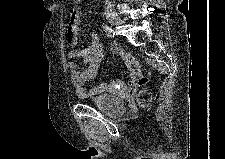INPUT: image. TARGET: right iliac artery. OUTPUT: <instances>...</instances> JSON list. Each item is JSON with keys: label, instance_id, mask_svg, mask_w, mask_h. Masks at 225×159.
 <instances>
[{"label": "right iliac artery", "instance_id": "right-iliac-artery-1", "mask_svg": "<svg viewBox=\"0 0 225 159\" xmlns=\"http://www.w3.org/2000/svg\"><path fill=\"white\" fill-rule=\"evenodd\" d=\"M103 31L105 32V34L112 38L115 35V32L113 31V29L111 27H109L108 25H103Z\"/></svg>", "mask_w": 225, "mask_h": 159}]
</instances>
